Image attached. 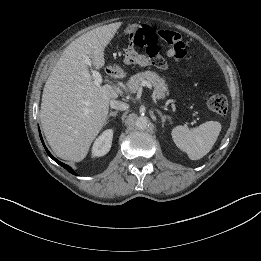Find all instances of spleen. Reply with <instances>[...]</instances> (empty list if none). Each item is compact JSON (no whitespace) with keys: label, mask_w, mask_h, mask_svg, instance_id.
Wrapping results in <instances>:
<instances>
[{"label":"spleen","mask_w":261,"mask_h":261,"mask_svg":"<svg viewBox=\"0 0 261 261\" xmlns=\"http://www.w3.org/2000/svg\"><path fill=\"white\" fill-rule=\"evenodd\" d=\"M221 131L217 121H207L196 128L176 126L172 139L176 146L188 154L191 160H198L210 152Z\"/></svg>","instance_id":"spleen-1"}]
</instances>
